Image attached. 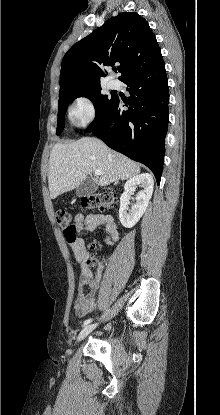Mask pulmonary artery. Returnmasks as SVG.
Instances as JSON below:
<instances>
[{
    "label": "pulmonary artery",
    "mask_w": 220,
    "mask_h": 415,
    "mask_svg": "<svg viewBox=\"0 0 220 415\" xmlns=\"http://www.w3.org/2000/svg\"><path fill=\"white\" fill-rule=\"evenodd\" d=\"M109 86H110V88L115 89V88H117V87H118V83H117V81H115V80H111V81L109 82Z\"/></svg>",
    "instance_id": "obj_1"
}]
</instances>
